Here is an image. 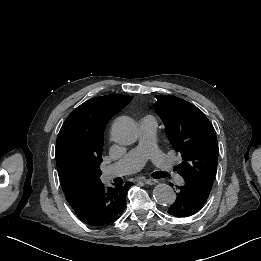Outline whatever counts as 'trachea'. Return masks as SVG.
<instances>
[{"mask_svg":"<svg viewBox=\"0 0 261 261\" xmlns=\"http://www.w3.org/2000/svg\"><path fill=\"white\" fill-rule=\"evenodd\" d=\"M169 176L168 172H163V171H156L152 173L153 178H166Z\"/></svg>","mask_w":261,"mask_h":261,"instance_id":"3493384b","label":"trachea"}]
</instances>
